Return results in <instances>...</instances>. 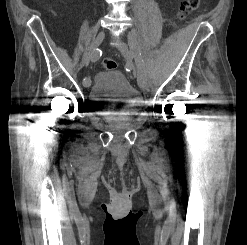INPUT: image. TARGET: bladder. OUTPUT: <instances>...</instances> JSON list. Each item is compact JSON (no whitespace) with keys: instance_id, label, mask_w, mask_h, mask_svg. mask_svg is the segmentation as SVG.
<instances>
[{"instance_id":"bladder-1","label":"bladder","mask_w":247,"mask_h":245,"mask_svg":"<svg viewBox=\"0 0 247 245\" xmlns=\"http://www.w3.org/2000/svg\"><path fill=\"white\" fill-rule=\"evenodd\" d=\"M92 107L102 113H131L140 108V93L124 73L106 70L98 73L88 92Z\"/></svg>"}]
</instances>
